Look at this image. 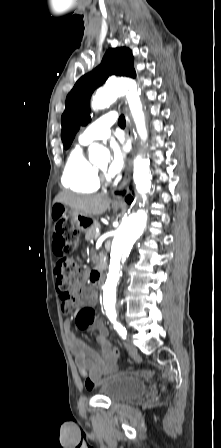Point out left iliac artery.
Masks as SVG:
<instances>
[{"instance_id": "left-iliac-artery-1", "label": "left iliac artery", "mask_w": 221, "mask_h": 448, "mask_svg": "<svg viewBox=\"0 0 221 448\" xmlns=\"http://www.w3.org/2000/svg\"><path fill=\"white\" fill-rule=\"evenodd\" d=\"M108 318L113 323L114 329H116V331L119 333V335L123 339H126L127 331H126L125 327H123L119 322H117L116 314H109Z\"/></svg>"}]
</instances>
